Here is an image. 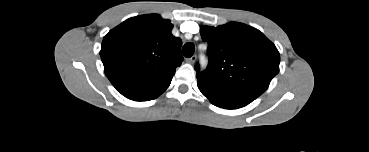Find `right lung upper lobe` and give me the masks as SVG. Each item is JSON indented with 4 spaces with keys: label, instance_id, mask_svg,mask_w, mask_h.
<instances>
[{
    "label": "right lung upper lobe",
    "instance_id": "1",
    "mask_svg": "<svg viewBox=\"0 0 369 152\" xmlns=\"http://www.w3.org/2000/svg\"><path fill=\"white\" fill-rule=\"evenodd\" d=\"M170 20L158 14L127 19L103 38L100 56L104 72L123 96L149 101L170 85L181 65L182 41L171 34Z\"/></svg>",
    "mask_w": 369,
    "mask_h": 152
}]
</instances>
